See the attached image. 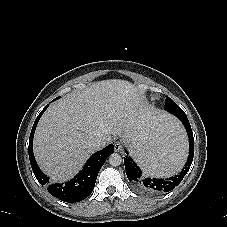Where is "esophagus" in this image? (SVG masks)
Listing matches in <instances>:
<instances>
[{
	"label": "esophagus",
	"instance_id": "34e87169",
	"mask_svg": "<svg viewBox=\"0 0 227 227\" xmlns=\"http://www.w3.org/2000/svg\"><path fill=\"white\" fill-rule=\"evenodd\" d=\"M121 149H122V145H121V143L118 141V142H115L114 143V150L116 151V152H119V151H121Z\"/></svg>",
	"mask_w": 227,
	"mask_h": 227
}]
</instances>
